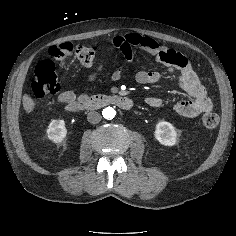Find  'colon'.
I'll list each match as a JSON object with an SVG mask.
<instances>
[{
    "mask_svg": "<svg viewBox=\"0 0 236 236\" xmlns=\"http://www.w3.org/2000/svg\"><path fill=\"white\" fill-rule=\"evenodd\" d=\"M74 51L71 43H61L51 46L50 56L59 62L64 61ZM76 58L83 66H90L96 57V47L80 46L75 50ZM60 82L55 72V65L51 60L41 61L35 69L34 80L31 84L32 94L36 98H44L57 93ZM203 125L208 129H214L219 124V116L214 112H207L202 117Z\"/></svg>",
    "mask_w": 236,
    "mask_h": 236,
    "instance_id": "1",
    "label": "colon"
}]
</instances>
